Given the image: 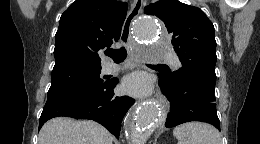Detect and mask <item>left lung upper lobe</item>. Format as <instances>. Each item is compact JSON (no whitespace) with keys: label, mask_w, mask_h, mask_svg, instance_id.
Instances as JSON below:
<instances>
[{"label":"left lung upper lobe","mask_w":260,"mask_h":144,"mask_svg":"<svg viewBox=\"0 0 260 144\" xmlns=\"http://www.w3.org/2000/svg\"><path fill=\"white\" fill-rule=\"evenodd\" d=\"M144 12L160 18L172 36V45L182 68L165 72L171 82L178 84L194 78L215 88L217 56L214 26L204 12L178 0H159L146 6Z\"/></svg>","instance_id":"5c2ea615"}]
</instances>
